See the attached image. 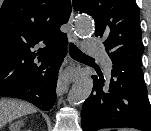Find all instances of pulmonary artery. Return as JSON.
<instances>
[{
	"instance_id": "obj_1",
	"label": "pulmonary artery",
	"mask_w": 151,
	"mask_h": 131,
	"mask_svg": "<svg viewBox=\"0 0 151 131\" xmlns=\"http://www.w3.org/2000/svg\"><path fill=\"white\" fill-rule=\"evenodd\" d=\"M86 51L90 54L98 55L101 58L103 67L105 69V72L107 74L110 73V70L112 68V62L111 60L107 57V55L104 53L101 45L99 42L95 39H90L86 43Z\"/></svg>"
}]
</instances>
